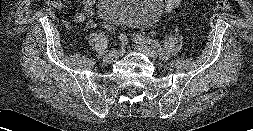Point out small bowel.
<instances>
[{"instance_id": "small-bowel-1", "label": "small bowel", "mask_w": 253, "mask_h": 131, "mask_svg": "<svg viewBox=\"0 0 253 131\" xmlns=\"http://www.w3.org/2000/svg\"><path fill=\"white\" fill-rule=\"evenodd\" d=\"M81 1H82L84 10L75 13L74 20L77 23L86 22V25L88 27H93L94 26L93 21L87 20V18L94 16V14H95L94 5H95L96 0H81ZM52 5L56 8H59V9L64 7V3L61 2L60 0L54 1V3H52Z\"/></svg>"}]
</instances>
